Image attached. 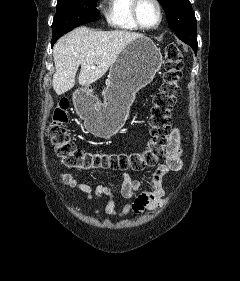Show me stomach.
I'll use <instances>...</instances> for the list:
<instances>
[{
  "label": "stomach",
  "instance_id": "0dacf381",
  "mask_svg": "<svg viewBox=\"0 0 240 281\" xmlns=\"http://www.w3.org/2000/svg\"><path fill=\"white\" fill-rule=\"evenodd\" d=\"M161 66V52L150 38L131 41L110 67L103 103L95 101L89 90L80 91L82 99L75 105L87 130L103 138L114 135L124 124L135 94L151 83Z\"/></svg>",
  "mask_w": 240,
  "mask_h": 281
}]
</instances>
